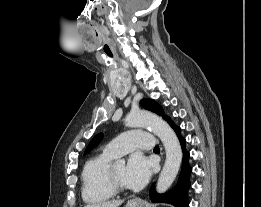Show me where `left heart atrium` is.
<instances>
[{"label":"left heart atrium","instance_id":"left-heart-atrium-1","mask_svg":"<svg viewBox=\"0 0 261 207\" xmlns=\"http://www.w3.org/2000/svg\"><path fill=\"white\" fill-rule=\"evenodd\" d=\"M153 163L140 153L133 154L126 165L125 183L129 188L144 186L152 173Z\"/></svg>","mask_w":261,"mask_h":207}]
</instances>
